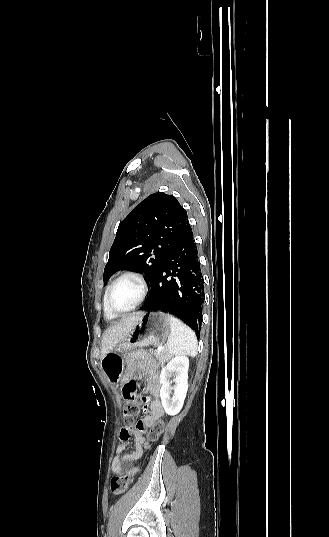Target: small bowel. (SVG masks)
I'll use <instances>...</instances> for the list:
<instances>
[{
	"label": "small bowel",
	"mask_w": 329,
	"mask_h": 537,
	"mask_svg": "<svg viewBox=\"0 0 329 537\" xmlns=\"http://www.w3.org/2000/svg\"><path fill=\"white\" fill-rule=\"evenodd\" d=\"M127 370L129 377L132 379L123 384L120 396L122 399L127 400L138 395L143 386L139 384L135 377L145 378L147 382L146 391L152 396V400L149 405V414L144 418L143 424L148 427L153 426L162 418L164 413L160 401L161 383L158 367L148 354L137 352L128 357ZM120 440L121 443L116 448V457L112 463V471L116 474L123 473L126 464L138 460L142 456L141 445L145 442L140 430H126L125 428L121 431ZM134 442L135 450L132 453H126L130 443Z\"/></svg>",
	"instance_id": "c3829d8e"
}]
</instances>
